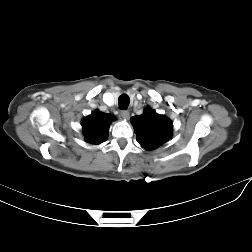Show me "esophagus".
I'll list each match as a JSON object with an SVG mask.
<instances>
[{
    "label": "esophagus",
    "mask_w": 252,
    "mask_h": 252,
    "mask_svg": "<svg viewBox=\"0 0 252 252\" xmlns=\"http://www.w3.org/2000/svg\"><path fill=\"white\" fill-rule=\"evenodd\" d=\"M121 117L125 120H127L130 116L129 112L127 110H122L120 113Z\"/></svg>",
    "instance_id": "esophagus-1"
}]
</instances>
